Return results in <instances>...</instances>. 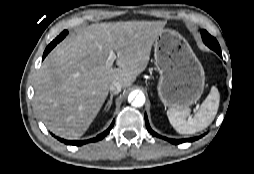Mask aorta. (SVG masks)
Here are the masks:
<instances>
[{"label": "aorta", "instance_id": "762f6f07", "mask_svg": "<svg viewBox=\"0 0 254 174\" xmlns=\"http://www.w3.org/2000/svg\"><path fill=\"white\" fill-rule=\"evenodd\" d=\"M128 101L134 107H142L145 103V95L142 92H132L128 96Z\"/></svg>", "mask_w": 254, "mask_h": 174}]
</instances>
